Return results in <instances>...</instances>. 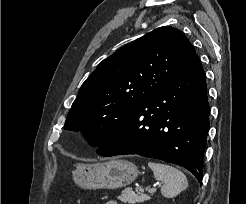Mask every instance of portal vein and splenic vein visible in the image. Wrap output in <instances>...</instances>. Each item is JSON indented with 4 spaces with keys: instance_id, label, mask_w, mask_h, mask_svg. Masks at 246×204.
<instances>
[{
    "instance_id": "18ae733b",
    "label": "portal vein and splenic vein",
    "mask_w": 246,
    "mask_h": 204,
    "mask_svg": "<svg viewBox=\"0 0 246 204\" xmlns=\"http://www.w3.org/2000/svg\"><path fill=\"white\" fill-rule=\"evenodd\" d=\"M156 191V186L152 187V188H149L147 190L148 193H154ZM129 195H134V192H130Z\"/></svg>"
}]
</instances>
